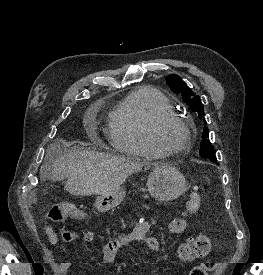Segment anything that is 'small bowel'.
<instances>
[{"label": "small bowel", "mask_w": 263, "mask_h": 275, "mask_svg": "<svg viewBox=\"0 0 263 275\" xmlns=\"http://www.w3.org/2000/svg\"><path fill=\"white\" fill-rule=\"evenodd\" d=\"M156 217H152L149 221L139 222L132 232L124 235H119L109 240L103 247L102 259L104 263H114L121 249L133 243H143L149 249L158 251L160 249L159 241L149 235L151 225L155 222ZM187 228L186 220L182 218H174L169 224V230L172 233H182ZM44 232L47 236L49 243L60 249L62 253H67V248L61 244L70 243L78 238V234L74 231L64 230L59 235L50 227L45 226ZM98 235L95 231H87L82 235L85 242H93L97 239ZM71 261L64 260L57 264V272L61 275L66 274L71 268Z\"/></svg>", "instance_id": "1"}]
</instances>
